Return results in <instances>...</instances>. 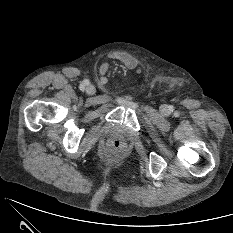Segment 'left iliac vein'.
Here are the masks:
<instances>
[{
	"label": "left iliac vein",
	"mask_w": 233,
	"mask_h": 233,
	"mask_svg": "<svg viewBox=\"0 0 233 233\" xmlns=\"http://www.w3.org/2000/svg\"><path fill=\"white\" fill-rule=\"evenodd\" d=\"M162 110H163V111H166V107H162Z\"/></svg>",
	"instance_id": "obj_1"
}]
</instances>
